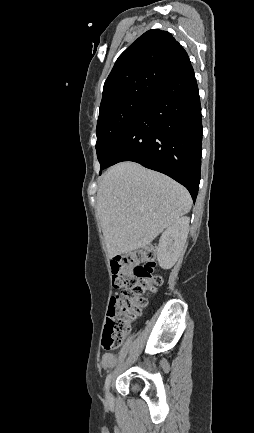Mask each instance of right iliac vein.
<instances>
[{"label": "right iliac vein", "instance_id": "1", "mask_svg": "<svg viewBox=\"0 0 254 433\" xmlns=\"http://www.w3.org/2000/svg\"><path fill=\"white\" fill-rule=\"evenodd\" d=\"M111 400H112L111 393H110L109 390H107V392H106V401H107V403H111Z\"/></svg>", "mask_w": 254, "mask_h": 433}]
</instances>
